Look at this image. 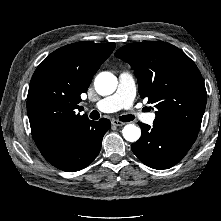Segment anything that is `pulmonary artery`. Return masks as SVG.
Here are the masks:
<instances>
[{
	"instance_id": "1",
	"label": "pulmonary artery",
	"mask_w": 221,
	"mask_h": 221,
	"mask_svg": "<svg viewBox=\"0 0 221 221\" xmlns=\"http://www.w3.org/2000/svg\"><path fill=\"white\" fill-rule=\"evenodd\" d=\"M135 97V82L132 75L128 72L121 73L117 91L101 100L94 108L99 112L111 113L120 109L131 110V115L135 119H140L147 124H152L155 120V113H141L133 106Z\"/></svg>"
}]
</instances>
